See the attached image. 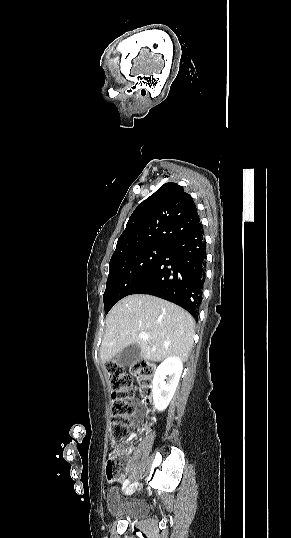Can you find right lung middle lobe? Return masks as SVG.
Listing matches in <instances>:
<instances>
[{
    "label": "right lung middle lobe",
    "instance_id": "1",
    "mask_svg": "<svg viewBox=\"0 0 291 538\" xmlns=\"http://www.w3.org/2000/svg\"><path fill=\"white\" fill-rule=\"evenodd\" d=\"M170 246L151 245L111 258L106 290L103 295L105 313L123 297L130 295Z\"/></svg>",
    "mask_w": 291,
    "mask_h": 538
}]
</instances>
